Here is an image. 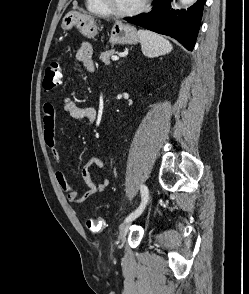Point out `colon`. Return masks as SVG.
<instances>
[{
    "mask_svg": "<svg viewBox=\"0 0 249 294\" xmlns=\"http://www.w3.org/2000/svg\"><path fill=\"white\" fill-rule=\"evenodd\" d=\"M62 82V67L59 60L51 62L45 71L43 89L51 91L57 88ZM105 226L104 220L100 217H90L86 220V227L93 232L101 231Z\"/></svg>",
    "mask_w": 249,
    "mask_h": 294,
    "instance_id": "colon-1",
    "label": "colon"
}]
</instances>
